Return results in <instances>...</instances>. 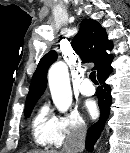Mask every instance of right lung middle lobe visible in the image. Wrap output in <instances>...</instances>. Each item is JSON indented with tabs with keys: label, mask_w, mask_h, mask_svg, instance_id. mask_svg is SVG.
I'll return each mask as SVG.
<instances>
[{
	"label": "right lung middle lobe",
	"mask_w": 130,
	"mask_h": 153,
	"mask_svg": "<svg viewBox=\"0 0 130 153\" xmlns=\"http://www.w3.org/2000/svg\"><path fill=\"white\" fill-rule=\"evenodd\" d=\"M35 103H36V102L31 103V104L25 106V117H26V118H28V117L30 116L31 111H32V109H33L34 106H35Z\"/></svg>",
	"instance_id": "1"
}]
</instances>
